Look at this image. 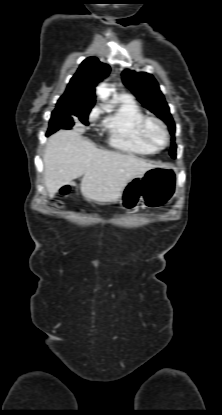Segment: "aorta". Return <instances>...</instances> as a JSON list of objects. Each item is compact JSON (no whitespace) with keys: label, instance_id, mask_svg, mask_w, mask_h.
Returning a JSON list of instances; mask_svg holds the SVG:
<instances>
[{"label":"aorta","instance_id":"762f6f07","mask_svg":"<svg viewBox=\"0 0 222 415\" xmlns=\"http://www.w3.org/2000/svg\"><path fill=\"white\" fill-rule=\"evenodd\" d=\"M97 94L103 102L108 100V98L110 96V89L107 87L106 83H101L97 87Z\"/></svg>","mask_w":222,"mask_h":415}]
</instances>
